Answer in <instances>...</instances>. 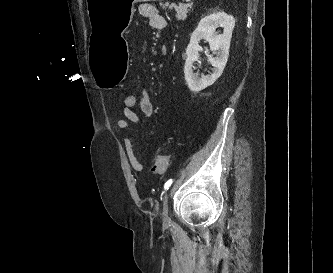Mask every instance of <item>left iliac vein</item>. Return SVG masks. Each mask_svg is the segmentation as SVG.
Returning <instances> with one entry per match:
<instances>
[{"label":"left iliac vein","instance_id":"4c4485c4","mask_svg":"<svg viewBox=\"0 0 333 273\" xmlns=\"http://www.w3.org/2000/svg\"><path fill=\"white\" fill-rule=\"evenodd\" d=\"M162 220L164 226H167L170 223V218L168 214V195H165L164 197L163 208H162Z\"/></svg>","mask_w":333,"mask_h":273}]
</instances>
